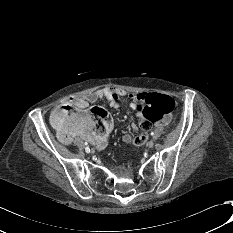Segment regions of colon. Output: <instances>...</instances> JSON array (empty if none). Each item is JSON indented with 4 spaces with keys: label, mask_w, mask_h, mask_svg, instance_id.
Listing matches in <instances>:
<instances>
[{
    "label": "colon",
    "mask_w": 233,
    "mask_h": 233,
    "mask_svg": "<svg viewBox=\"0 0 233 233\" xmlns=\"http://www.w3.org/2000/svg\"><path fill=\"white\" fill-rule=\"evenodd\" d=\"M135 108L141 112L139 128L141 134L135 139L137 144H143L147 139V132L152 125L164 123L171 117L174 109V101L170 96L148 92L139 93L134 99ZM74 110L70 105L59 107L58 114L52 115L51 119L55 129L63 131L68 125L66 121ZM63 115V116H62ZM95 118L101 122L112 120L111 115L101 107L93 108L91 111L82 112L75 118V125L87 130L88 133L99 132L100 126L96 124Z\"/></svg>",
    "instance_id": "colon-1"
}]
</instances>
